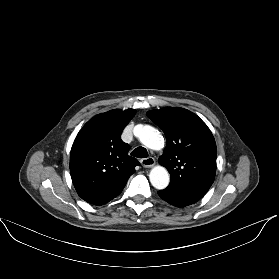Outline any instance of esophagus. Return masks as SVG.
<instances>
[{
	"instance_id": "1",
	"label": "esophagus",
	"mask_w": 279,
	"mask_h": 279,
	"mask_svg": "<svg viewBox=\"0 0 279 279\" xmlns=\"http://www.w3.org/2000/svg\"><path fill=\"white\" fill-rule=\"evenodd\" d=\"M140 162H141L142 166L145 168H150L155 165V160L152 157L144 158Z\"/></svg>"
}]
</instances>
